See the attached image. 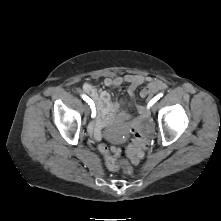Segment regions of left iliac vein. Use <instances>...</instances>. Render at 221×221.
<instances>
[{"label": "left iliac vein", "instance_id": "4c4485c4", "mask_svg": "<svg viewBox=\"0 0 221 221\" xmlns=\"http://www.w3.org/2000/svg\"><path fill=\"white\" fill-rule=\"evenodd\" d=\"M156 109H157V105L154 104V105L152 106V111H156ZM147 112H148V110H147Z\"/></svg>", "mask_w": 221, "mask_h": 221}]
</instances>
